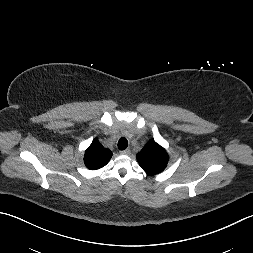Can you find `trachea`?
<instances>
[{
  "label": "trachea",
  "instance_id": "obj_1",
  "mask_svg": "<svg viewBox=\"0 0 253 253\" xmlns=\"http://www.w3.org/2000/svg\"><path fill=\"white\" fill-rule=\"evenodd\" d=\"M128 146V141L126 138L122 137L118 141V148L119 150H125Z\"/></svg>",
  "mask_w": 253,
  "mask_h": 253
}]
</instances>
